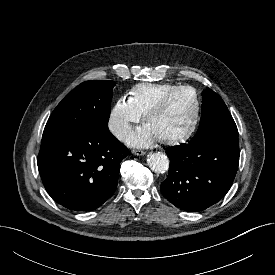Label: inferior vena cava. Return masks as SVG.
Returning <instances> with one entry per match:
<instances>
[{"label": "inferior vena cava", "mask_w": 275, "mask_h": 275, "mask_svg": "<svg viewBox=\"0 0 275 275\" xmlns=\"http://www.w3.org/2000/svg\"><path fill=\"white\" fill-rule=\"evenodd\" d=\"M130 130L128 125H118L117 127L113 128V134L120 140L124 139L127 135L128 131Z\"/></svg>", "instance_id": "602c4592"}]
</instances>
